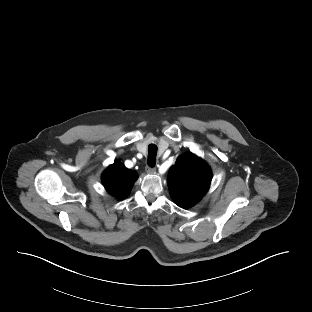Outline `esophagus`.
Wrapping results in <instances>:
<instances>
[{"label":"esophagus","mask_w":312,"mask_h":312,"mask_svg":"<svg viewBox=\"0 0 312 312\" xmlns=\"http://www.w3.org/2000/svg\"><path fill=\"white\" fill-rule=\"evenodd\" d=\"M145 170H146L147 173L153 174V173H155L156 168H155V167L147 166V167L145 168Z\"/></svg>","instance_id":"esophagus-1"}]
</instances>
